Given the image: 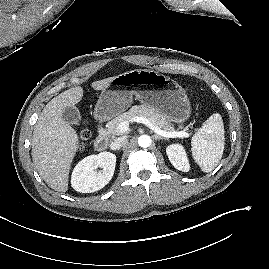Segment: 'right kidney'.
Instances as JSON below:
<instances>
[{
	"label": "right kidney",
	"mask_w": 269,
	"mask_h": 269,
	"mask_svg": "<svg viewBox=\"0 0 269 269\" xmlns=\"http://www.w3.org/2000/svg\"><path fill=\"white\" fill-rule=\"evenodd\" d=\"M115 165L116 156L110 152L85 157L72 172L73 189L81 193H91L102 189L112 179ZM98 167L102 168L99 172L96 171Z\"/></svg>",
	"instance_id": "right-kidney-1"
}]
</instances>
